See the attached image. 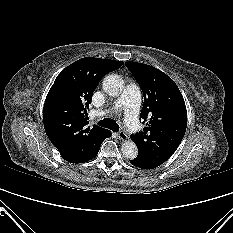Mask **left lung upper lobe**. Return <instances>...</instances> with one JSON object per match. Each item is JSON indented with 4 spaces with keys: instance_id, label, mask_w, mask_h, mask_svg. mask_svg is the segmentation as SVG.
Masks as SVG:
<instances>
[{
    "instance_id": "5c2ea615",
    "label": "left lung upper lobe",
    "mask_w": 233,
    "mask_h": 233,
    "mask_svg": "<svg viewBox=\"0 0 233 233\" xmlns=\"http://www.w3.org/2000/svg\"><path fill=\"white\" fill-rule=\"evenodd\" d=\"M125 65L144 96L140 118L146 127L131 138L138 147V156L159 166L175 152L184 137L187 111L183 96L175 82L162 71L137 62Z\"/></svg>"
}]
</instances>
